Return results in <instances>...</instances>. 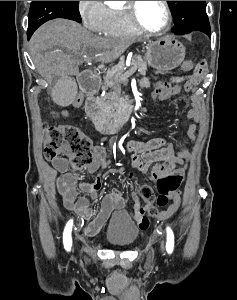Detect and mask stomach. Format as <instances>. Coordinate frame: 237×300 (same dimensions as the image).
I'll list each match as a JSON object with an SVG mask.
<instances>
[{
  "instance_id": "1",
  "label": "stomach",
  "mask_w": 237,
  "mask_h": 300,
  "mask_svg": "<svg viewBox=\"0 0 237 300\" xmlns=\"http://www.w3.org/2000/svg\"><path fill=\"white\" fill-rule=\"evenodd\" d=\"M185 55L186 49L182 43L173 37H162L154 43H149L144 59L157 71H172L183 63Z\"/></svg>"
}]
</instances>
